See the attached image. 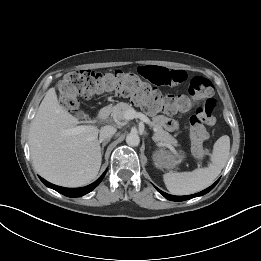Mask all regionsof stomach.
<instances>
[{
  "mask_svg": "<svg viewBox=\"0 0 261 261\" xmlns=\"http://www.w3.org/2000/svg\"><path fill=\"white\" fill-rule=\"evenodd\" d=\"M185 158L183 151L172 152L161 148L154 152L153 162L159 169H174Z\"/></svg>",
  "mask_w": 261,
  "mask_h": 261,
  "instance_id": "stomach-1",
  "label": "stomach"
}]
</instances>
